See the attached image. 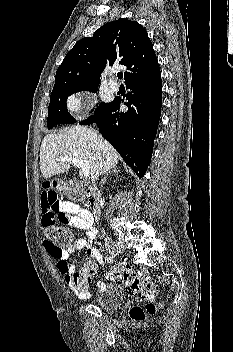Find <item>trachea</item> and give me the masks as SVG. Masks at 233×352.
I'll return each mask as SVG.
<instances>
[{
    "instance_id": "obj_1",
    "label": "trachea",
    "mask_w": 233,
    "mask_h": 352,
    "mask_svg": "<svg viewBox=\"0 0 233 352\" xmlns=\"http://www.w3.org/2000/svg\"><path fill=\"white\" fill-rule=\"evenodd\" d=\"M117 77H118L119 79H122L123 73H118V74H117Z\"/></svg>"
}]
</instances>
